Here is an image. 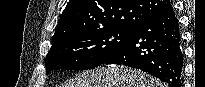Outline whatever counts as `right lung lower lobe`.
<instances>
[{"instance_id":"right-lung-lower-lobe-1","label":"right lung lower lobe","mask_w":205,"mask_h":87,"mask_svg":"<svg viewBox=\"0 0 205 87\" xmlns=\"http://www.w3.org/2000/svg\"><path fill=\"white\" fill-rule=\"evenodd\" d=\"M140 69L169 87H181L184 56L179 22L172 6L142 22L128 41L101 65Z\"/></svg>"}]
</instances>
